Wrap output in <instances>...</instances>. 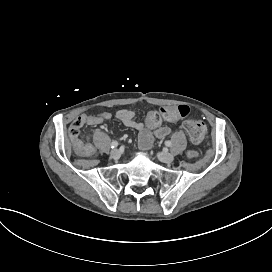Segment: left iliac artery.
<instances>
[{"instance_id": "44dca946", "label": "left iliac artery", "mask_w": 272, "mask_h": 272, "mask_svg": "<svg viewBox=\"0 0 272 272\" xmlns=\"http://www.w3.org/2000/svg\"><path fill=\"white\" fill-rule=\"evenodd\" d=\"M165 145H166L167 147H170V146L172 145V143H171V141L168 140V141L165 142Z\"/></svg>"}]
</instances>
